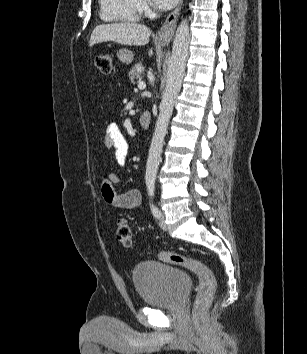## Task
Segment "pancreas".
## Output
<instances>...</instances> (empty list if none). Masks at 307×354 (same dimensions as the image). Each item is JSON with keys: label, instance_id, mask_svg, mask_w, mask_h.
<instances>
[{"label": "pancreas", "instance_id": "1", "mask_svg": "<svg viewBox=\"0 0 307 354\" xmlns=\"http://www.w3.org/2000/svg\"><path fill=\"white\" fill-rule=\"evenodd\" d=\"M143 71L144 66L142 65V63L135 64L129 72L130 81L133 82L135 79L139 80L142 77Z\"/></svg>", "mask_w": 307, "mask_h": 354}]
</instances>
